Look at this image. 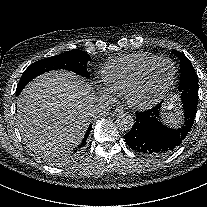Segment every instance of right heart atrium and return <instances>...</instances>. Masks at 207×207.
<instances>
[{
	"label": "right heart atrium",
	"instance_id": "right-heart-atrium-1",
	"mask_svg": "<svg viewBox=\"0 0 207 207\" xmlns=\"http://www.w3.org/2000/svg\"><path fill=\"white\" fill-rule=\"evenodd\" d=\"M99 93L102 95V96H104V97H107L108 96V94H107V92L104 90V89H99Z\"/></svg>",
	"mask_w": 207,
	"mask_h": 207
}]
</instances>
